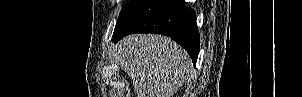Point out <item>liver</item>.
Instances as JSON below:
<instances>
[{"instance_id": "liver-1", "label": "liver", "mask_w": 302, "mask_h": 97, "mask_svg": "<svg viewBox=\"0 0 302 97\" xmlns=\"http://www.w3.org/2000/svg\"><path fill=\"white\" fill-rule=\"evenodd\" d=\"M116 52L136 97H173L193 71L186 51L163 35H129L117 43Z\"/></svg>"}]
</instances>
